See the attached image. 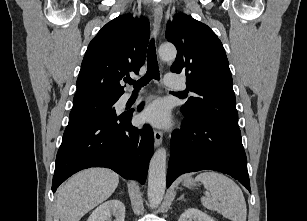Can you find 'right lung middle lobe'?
<instances>
[{
	"label": "right lung middle lobe",
	"instance_id": "obj_1",
	"mask_svg": "<svg viewBox=\"0 0 307 221\" xmlns=\"http://www.w3.org/2000/svg\"><path fill=\"white\" fill-rule=\"evenodd\" d=\"M116 101L117 99L73 104L65 131L114 116L116 111L113 105Z\"/></svg>",
	"mask_w": 307,
	"mask_h": 221
}]
</instances>
